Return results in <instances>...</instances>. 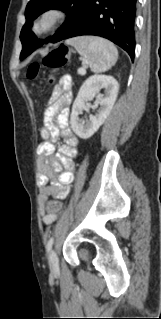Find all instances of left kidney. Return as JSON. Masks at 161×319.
Instances as JSON below:
<instances>
[{"mask_svg":"<svg viewBox=\"0 0 161 319\" xmlns=\"http://www.w3.org/2000/svg\"><path fill=\"white\" fill-rule=\"evenodd\" d=\"M101 89L105 90L104 94L100 93ZM118 90V82L114 77L108 75H93L83 83L73 103L70 118L71 127L76 135L82 139H88L99 129L111 112ZM95 95L97 98L94 107L98 108L97 113L84 122L79 115L83 110L89 108L86 102Z\"/></svg>","mask_w":161,"mask_h":319,"instance_id":"obj_1","label":"left kidney"}]
</instances>
